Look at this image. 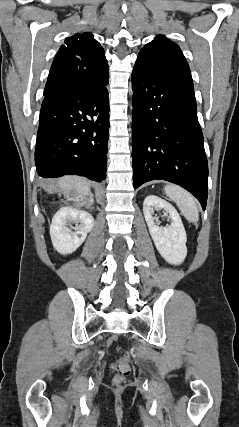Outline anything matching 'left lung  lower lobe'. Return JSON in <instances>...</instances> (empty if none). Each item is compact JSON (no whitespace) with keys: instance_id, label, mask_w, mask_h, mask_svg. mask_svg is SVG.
I'll use <instances>...</instances> for the list:
<instances>
[{"instance_id":"0a47b994","label":"left lung lower lobe","mask_w":239,"mask_h":427,"mask_svg":"<svg viewBox=\"0 0 239 427\" xmlns=\"http://www.w3.org/2000/svg\"><path fill=\"white\" fill-rule=\"evenodd\" d=\"M134 188L163 179L206 208L208 163L193 87L135 64L132 72Z\"/></svg>"}]
</instances>
